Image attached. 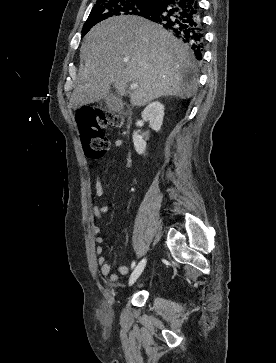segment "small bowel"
Masks as SVG:
<instances>
[{
  "instance_id": "1",
  "label": "small bowel",
  "mask_w": 276,
  "mask_h": 363,
  "mask_svg": "<svg viewBox=\"0 0 276 363\" xmlns=\"http://www.w3.org/2000/svg\"><path fill=\"white\" fill-rule=\"evenodd\" d=\"M114 144L118 148H122L124 145L123 141L120 139L116 140ZM125 161H126V167L130 168L132 165V155L130 153H126ZM103 191L104 190H103L102 181L97 176L95 179V196L97 198L102 197ZM108 211H109L108 205H93L91 208L92 217L95 219H99L102 215L106 214ZM92 232L94 235L95 243L97 244L95 248V253L97 255V264L100 268L101 274L105 276L110 283H115L118 280L119 275H124V276L128 275L131 269L129 266L126 265H119L117 267L116 273L111 272L110 265L106 257L104 256V248L102 246L104 242V237L102 235L101 227L98 225H94L92 227Z\"/></svg>"
}]
</instances>
